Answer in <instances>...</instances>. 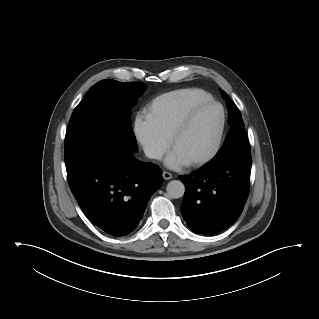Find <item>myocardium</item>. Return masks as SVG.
I'll list each match as a JSON object with an SVG mask.
<instances>
[{
	"instance_id": "myocardium-1",
	"label": "myocardium",
	"mask_w": 319,
	"mask_h": 319,
	"mask_svg": "<svg viewBox=\"0 0 319 319\" xmlns=\"http://www.w3.org/2000/svg\"><path fill=\"white\" fill-rule=\"evenodd\" d=\"M209 105L218 106L220 109V114H221L220 128H219L218 136L216 139V143H215L213 150L208 155H206L202 158L193 160L191 162H188L189 166L197 167V166L205 165V164L211 162L212 160H214L217 157V155L219 154V152L222 148L223 140H224V134H225V129H226V120H227L226 110H225L224 106L219 101H217L213 98L206 100V101H203V102H200V103L192 106L188 110V112L186 113V115L182 119V121L173 130V132L171 133V135L169 137L170 148L173 149V146H174L176 140L183 133H185L188 130V128L191 126L196 114L201 109H203L204 107L209 106Z\"/></svg>"
}]
</instances>
